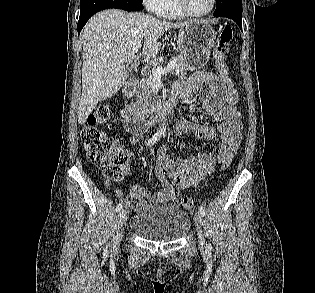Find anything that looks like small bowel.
Masks as SVG:
<instances>
[{"label":"small bowel","instance_id":"c3829d8e","mask_svg":"<svg viewBox=\"0 0 315 293\" xmlns=\"http://www.w3.org/2000/svg\"><path fill=\"white\" fill-rule=\"evenodd\" d=\"M203 85H206L208 90L202 107L218 124L204 126L181 118L174 127L173 136L177 138L188 131L206 141L220 136L219 148L211 152L202 151L171 159L167 156L168 145H164L158 151L154 169V176L159 181L161 190L149 197L148 190L134 185L139 190H130L128 198L123 197L120 190H116L115 196L127 207L140 211L149 203L176 201L181 190L196 186L207 174L214 171L217 164L230 162L234 157L242 141V120L236 108L237 92L230 94L222 79L211 72H196L188 81L177 82L173 93L190 100L200 93ZM141 138L140 133L133 134L131 142L137 144ZM181 147L186 149L187 143L182 142Z\"/></svg>","mask_w":315,"mask_h":293}]
</instances>
